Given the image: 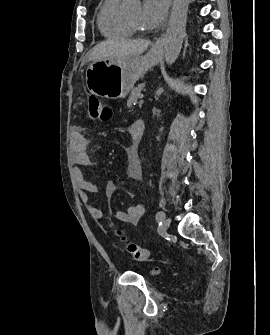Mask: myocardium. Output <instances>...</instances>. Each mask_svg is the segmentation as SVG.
<instances>
[{
	"label": "myocardium",
	"instance_id": "myocardium-1",
	"mask_svg": "<svg viewBox=\"0 0 270 335\" xmlns=\"http://www.w3.org/2000/svg\"><path fill=\"white\" fill-rule=\"evenodd\" d=\"M126 23L128 24V26L133 30V31H137L138 28H136L127 18H125Z\"/></svg>",
	"mask_w": 270,
	"mask_h": 335
}]
</instances>
